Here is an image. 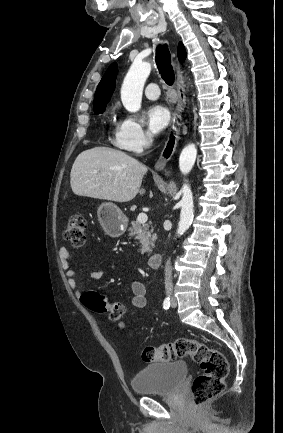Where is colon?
Wrapping results in <instances>:
<instances>
[{
    "instance_id": "obj_1",
    "label": "colon",
    "mask_w": 283,
    "mask_h": 433,
    "mask_svg": "<svg viewBox=\"0 0 283 433\" xmlns=\"http://www.w3.org/2000/svg\"><path fill=\"white\" fill-rule=\"evenodd\" d=\"M64 238L73 247H82L86 242V221L82 215L75 214L69 218L63 231ZM82 304L98 314H106L112 321L123 326L124 306L120 303H109L97 292L90 291L81 296ZM146 362L170 361L190 356L201 367L202 373L192 384V397L196 406H201L219 395L225 387L229 364L222 352L208 345L187 338H178L159 346H146L141 353Z\"/></svg>"
}]
</instances>
